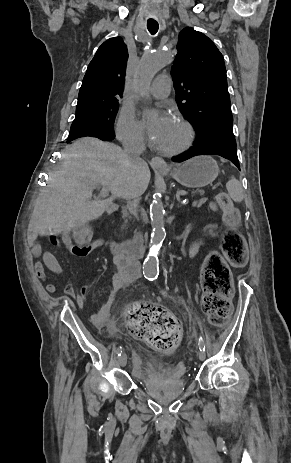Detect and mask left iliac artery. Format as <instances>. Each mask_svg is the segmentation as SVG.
Returning a JSON list of instances; mask_svg holds the SVG:
<instances>
[{"mask_svg":"<svg viewBox=\"0 0 291 463\" xmlns=\"http://www.w3.org/2000/svg\"><path fill=\"white\" fill-rule=\"evenodd\" d=\"M157 277H154L152 278L151 280H155ZM162 295L166 296V292L165 291H162ZM199 347H200V351L203 350L205 351V343H204V340L202 339V337L199 338Z\"/></svg>","mask_w":291,"mask_h":463,"instance_id":"44dca946","label":"left iliac artery"}]
</instances>
